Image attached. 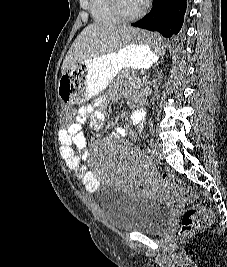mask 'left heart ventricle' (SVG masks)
<instances>
[{
  "label": "left heart ventricle",
  "instance_id": "1",
  "mask_svg": "<svg viewBox=\"0 0 227 267\" xmlns=\"http://www.w3.org/2000/svg\"><path fill=\"white\" fill-rule=\"evenodd\" d=\"M121 5L128 14L136 13L143 6L139 0H121Z\"/></svg>",
  "mask_w": 227,
  "mask_h": 267
}]
</instances>
